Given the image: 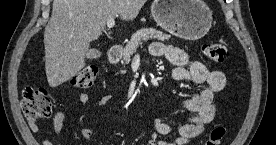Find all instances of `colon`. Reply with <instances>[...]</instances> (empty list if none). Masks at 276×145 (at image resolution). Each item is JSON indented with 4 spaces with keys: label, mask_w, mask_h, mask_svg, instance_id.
Returning <instances> with one entry per match:
<instances>
[{
    "label": "colon",
    "mask_w": 276,
    "mask_h": 145,
    "mask_svg": "<svg viewBox=\"0 0 276 145\" xmlns=\"http://www.w3.org/2000/svg\"><path fill=\"white\" fill-rule=\"evenodd\" d=\"M202 51L213 63H222L226 55V47L221 43L205 44ZM97 73L96 66H85L71 77L70 84L73 87L88 88L94 83ZM21 107L26 119L31 122L48 119L53 113L50 94L41 87H26L22 92ZM225 134L223 126H215L204 145H220Z\"/></svg>",
    "instance_id": "colon-1"
}]
</instances>
